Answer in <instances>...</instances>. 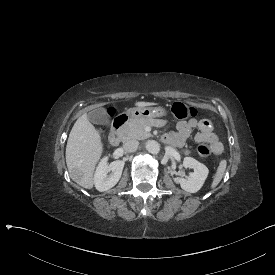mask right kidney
I'll list each match as a JSON object with an SVG mask.
<instances>
[{
  "label": "right kidney",
  "instance_id": "obj_1",
  "mask_svg": "<svg viewBox=\"0 0 275 275\" xmlns=\"http://www.w3.org/2000/svg\"><path fill=\"white\" fill-rule=\"evenodd\" d=\"M125 166L124 161H114L109 166L107 160L104 159L95 175V186L98 191L104 192L113 188L121 179ZM111 172V174H109Z\"/></svg>",
  "mask_w": 275,
  "mask_h": 275
}]
</instances>
